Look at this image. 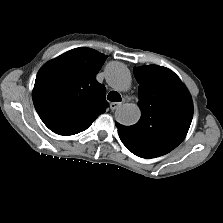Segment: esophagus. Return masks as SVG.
Listing matches in <instances>:
<instances>
[{"label": "esophagus", "mask_w": 223, "mask_h": 223, "mask_svg": "<svg viewBox=\"0 0 223 223\" xmlns=\"http://www.w3.org/2000/svg\"><path fill=\"white\" fill-rule=\"evenodd\" d=\"M120 105H121V103H119V102H112V103H110V109H111L112 111H114V110H116Z\"/></svg>", "instance_id": "obj_1"}]
</instances>
